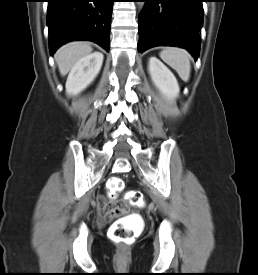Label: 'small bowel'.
I'll return each instance as SVG.
<instances>
[{
  "mask_svg": "<svg viewBox=\"0 0 258 275\" xmlns=\"http://www.w3.org/2000/svg\"><path fill=\"white\" fill-rule=\"evenodd\" d=\"M107 204L108 203L106 201L101 199V201H100V210H101V212L106 208Z\"/></svg>",
  "mask_w": 258,
  "mask_h": 275,
  "instance_id": "small-bowel-1",
  "label": "small bowel"
}]
</instances>
